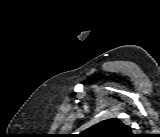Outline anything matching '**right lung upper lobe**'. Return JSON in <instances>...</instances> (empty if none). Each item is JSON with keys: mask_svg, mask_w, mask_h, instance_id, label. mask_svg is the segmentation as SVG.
Instances as JSON below:
<instances>
[{"mask_svg": "<svg viewBox=\"0 0 160 137\" xmlns=\"http://www.w3.org/2000/svg\"><path fill=\"white\" fill-rule=\"evenodd\" d=\"M85 137H129L131 128L119 119L112 118L101 121L82 132Z\"/></svg>", "mask_w": 160, "mask_h": 137, "instance_id": "right-lung-upper-lobe-1", "label": "right lung upper lobe"}]
</instances>
